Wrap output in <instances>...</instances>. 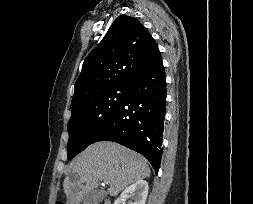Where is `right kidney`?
I'll use <instances>...</instances> for the list:
<instances>
[{
	"label": "right kidney",
	"instance_id": "right-kidney-1",
	"mask_svg": "<svg viewBox=\"0 0 253 204\" xmlns=\"http://www.w3.org/2000/svg\"><path fill=\"white\" fill-rule=\"evenodd\" d=\"M148 183L145 180H138L121 193L114 204H125L129 197H133L131 204H145L148 195Z\"/></svg>",
	"mask_w": 253,
	"mask_h": 204
}]
</instances>
